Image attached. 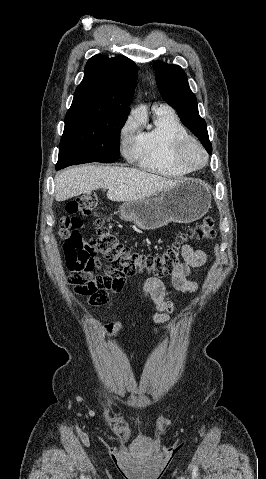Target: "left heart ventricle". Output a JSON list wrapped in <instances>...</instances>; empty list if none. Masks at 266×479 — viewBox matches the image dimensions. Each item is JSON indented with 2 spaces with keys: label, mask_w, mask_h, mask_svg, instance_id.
<instances>
[{
  "label": "left heart ventricle",
  "mask_w": 266,
  "mask_h": 479,
  "mask_svg": "<svg viewBox=\"0 0 266 479\" xmlns=\"http://www.w3.org/2000/svg\"><path fill=\"white\" fill-rule=\"evenodd\" d=\"M188 161L192 165H196L201 161V154L197 149H190L187 153Z\"/></svg>",
  "instance_id": "1"
}]
</instances>
